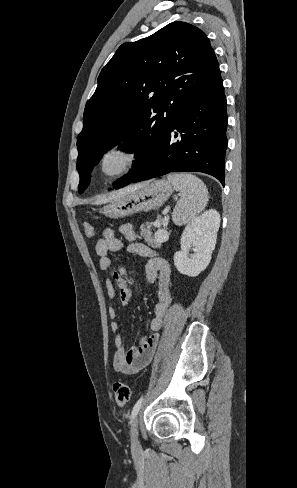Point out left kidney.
Segmentation results:
<instances>
[{
  "instance_id": "1",
  "label": "left kidney",
  "mask_w": 297,
  "mask_h": 488,
  "mask_svg": "<svg viewBox=\"0 0 297 488\" xmlns=\"http://www.w3.org/2000/svg\"><path fill=\"white\" fill-rule=\"evenodd\" d=\"M220 214L210 209L193 218L185 227L181 237V251L174 254V265L178 272L195 277L205 270L215 248ZM193 247L194 254L189 255Z\"/></svg>"
}]
</instances>
